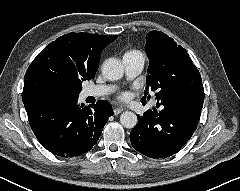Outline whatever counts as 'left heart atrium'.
Here are the masks:
<instances>
[{"label": "left heart atrium", "mask_w": 240, "mask_h": 191, "mask_svg": "<svg viewBox=\"0 0 240 191\" xmlns=\"http://www.w3.org/2000/svg\"><path fill=\"white\" fill-rule=\"evenodd\" d=\"M128 97V94L127 93H122L121 95H120V98L121 99H126Z\"/></svg>", "instance_id": "39dd6f15"}]
</instances>
